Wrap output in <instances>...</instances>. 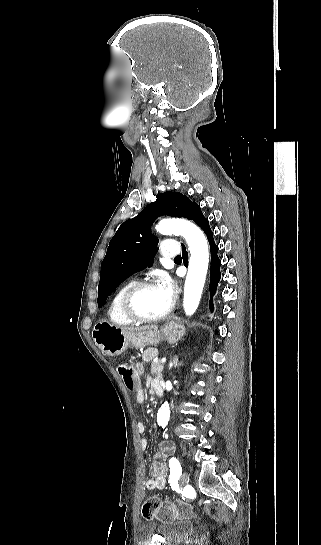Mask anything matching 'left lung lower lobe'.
Here are the masks:
<instances>
[{
    "mask_svg": "<svg viewBox=\"0 0 321 545\" xmlns=\"http://www.w3.org/2000/svg\"><path fill=\"white\" fill-rule=\"evenodd\" d=\"M190 220H193L194 222H196L204 230V232L207 234V237H208V240H209V243H210V248H211V281H210V288L209 289H210L211 296H213L215 294L216 287H217V284H218V282L220 280V276H221V274H220L221 262H220V260H219V258L217 256L218 247L214 243L212 231H211V229L209 227L208 220L203 216L200 207L195 211V213L193 214V216H192V218ZM182 247H183V253H182L183 262H184V265L186 266L187 261H188V255H187V252L185 250L184 245H182ZM209 307H210L211 311H213V301H212V299H210Z\"/></svg>",
    "mask_w": 321,
    "mask_h": 545,
    "instance_id": "1",
    "label": "left lung lower lobe"
}]
</instances>
